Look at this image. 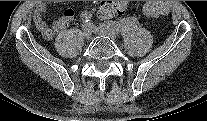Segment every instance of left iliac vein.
Returning a JSON list of instances; mask_svg holds the SVG:
<instances>
[{"mask_svg":"<svg viewBox=\"0 0 207 121\" xmlns=\"http://www.w3.org/2000/svg\"><path fill=\"white\" fill-rule=\"evenodd\" d=\"M90 27H91L92 32L96 35L107 36L111 38L112 40H115L117 37V32L115 30L111 28H107L104 25L96 27L91 24Z\"/></svg>","mask_w":207,"mask_h":121,"instance_id":"obj_1","label":"left iliac vein"}]
</instances>
